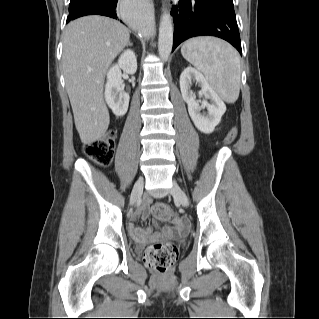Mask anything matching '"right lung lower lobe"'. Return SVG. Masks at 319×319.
Masks as SVG:
<instances>
[{"mask_svg":"<svg viewBox=\"0 0 319 319\" xmlns=\"http://www.w3.org/2000/svg\"><path fill=\"white\" fill-rule=\"evenodd\" d=\"M118 0H84L73 11L69 12L67 23L86 15H103L118 19L116 14Z\"/></svg>","mask_w":319,"mask_h":319,"instance_id":"98d812e1","label":"right lung lower lobe"}]
</instances>
